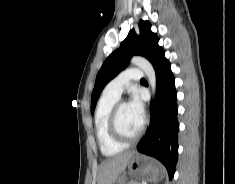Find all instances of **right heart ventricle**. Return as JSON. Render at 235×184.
<instances>
[{
    "instance_id": "obj_1",
    "label": "right heart ventricle",
    "mask_w": 235,
    "mask_h": 184,
    "mask_svg": "<svg viewBox=\"0 0 235 184\" xmlns=\"http://www.w3.org/2000/svg\"><path fill=\"white\" fill-rule=\"evenodd\" d=\"M118 99L103 94L94 113V132L98 145L105 156H113L124 149V144L117 141L109 131V116Z\"/></svg>"
}]
</instances>
